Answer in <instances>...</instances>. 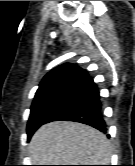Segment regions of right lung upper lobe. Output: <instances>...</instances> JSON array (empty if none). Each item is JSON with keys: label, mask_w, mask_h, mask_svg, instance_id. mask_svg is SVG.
Masks as SVG:
<instances>
[{"label": "right lung upper lobe", "mask_w": 135, "mask_h": 166, "mask_svg": "<svg viewBox=\"0 0 135 166\" xmlns=\"http://www.w3.org/2000/svg\"><path fill=\"white\" fill-rule=\"evenodd\" d=\"M88 76L87 71L71 63L60 65L51 70L41 81L35 100L61 88L77 83Z\"/></svg>", "instance_id": "1"}]
</instances>
